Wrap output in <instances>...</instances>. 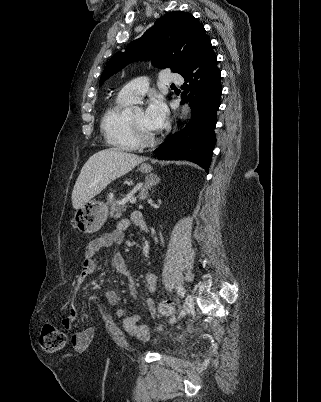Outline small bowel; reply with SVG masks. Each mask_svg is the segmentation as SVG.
Instances as JSON below:
<instances>
[{"instance_id":"c3829d8e","label":"small bowel","mask_w":321,"mask_h":402,"mask_svg":"<svg viewBox=\"0 0 321 402\" xmlns=\"http://www.w3.org/2000/svg\"><path fill=\"white\" fill-rule=\"evenodd\" d=\"M132 223H134L141 229H144V226L140 222L133 220ZM130 224V221H122L117 229L108 233H104L88 242L84 252V265L81 273L77 278L78 284L82 283L86 277L97 271L99 263L96 259V256L101 250L114 244H121L124 241L125 231ZM112 265L116 272L129 277L125 260L120 252L115 251L112 254ZM145 283L147 290L150 292H154L157 288V276L153 272H148L145 276ZM128 291L130 296L134 300H136L137 293L135 290V286L131 280H129L128 282ZM106 300L111 306H117L120 302L119 295L114 290H108L106 292ZM145 306L150 317L154 318L157 316V310L153 298H147L145 300ZM116 315L119 318H123V328L128 334L135 336L143 341H147L149 339V330L145 324L141 323V316L139 314L126 316L125 309L118 308L116 310ZM78 317V311L75 308H71L68 315L63 320L64 327L68 330H71L78 320ZM90 338L91 329L88 327H84L73 332L71 342L73 347L77 350L76 356H81V353L84 352L85 347L90 341Z\"/></svg>"}]
</instances>
